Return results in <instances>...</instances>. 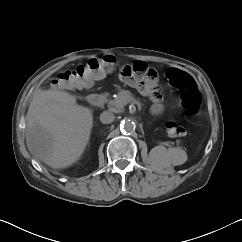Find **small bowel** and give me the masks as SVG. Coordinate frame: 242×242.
<instances>
[{
    "label": "small bowel",
    "mask_w": 242,
    "mask_h": 242,
    "mask_svg": "<svg viewBox=\"0 0 242 242\" xmlns=\"http://www.w3.org/2000/svg\"><path fill=\"white\" fill-rule=\"evenodd\" d=\"M136 63H145V62H143V61H136L135 63H134V65L136 64ZM146 64V63H145ZM121 72H122V70H120V72H119V75H120V77H121V79H123L128 85H130V86H132V87H140V83H139V81L138 80H136V79H125L122 75H121ZM141 89L143 90V91H147V89L146 88H144V87H141Z\"/></svg>",
    "instance_id": "c3829d8e"
}]
</instances>
